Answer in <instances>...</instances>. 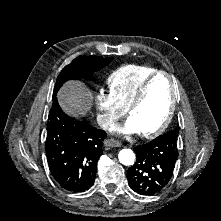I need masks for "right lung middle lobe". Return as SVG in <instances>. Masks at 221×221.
<instances>
[{
  "label": "right lung middle lobe",
  "instance_id": "obj_1",
  "mask_svg": "<svg viewBox=\"0 0 221 221\" xmlns=\"http://www.w3.org/2000/svg\"><path fill=\"white\" fill-rule=\"evenodd\" d=\"M112 59L110 57L102 58L98 56H79L75 58L60 72L54 87L53 98H55L57 91L67 80L91 79L94 72L107 66Z\"/></svg>",
  "mask_w": 221,
  "mask_h": 221
}]
</instances>
